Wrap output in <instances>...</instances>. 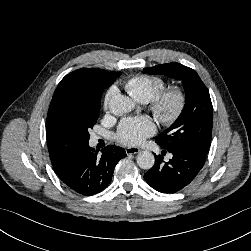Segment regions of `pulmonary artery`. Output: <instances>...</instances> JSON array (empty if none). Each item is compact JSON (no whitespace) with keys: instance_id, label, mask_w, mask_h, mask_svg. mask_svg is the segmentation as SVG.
I'll return each mask as SVG.
<instances>
[{"instance_id":"e3ab8cb5","label":"pulmonary artery","mask_w":251,"mask_h":251,"mask_svg":"<svg viewBox=\"0 0 251 251\" xmlns=\"http://www.w3.org/2000/svg\"><path fill=\"white\" fill-rule=\"evenodd\" d=\"M97 140V137H94V141H96Z\"/></svg>"}]
</instances>
